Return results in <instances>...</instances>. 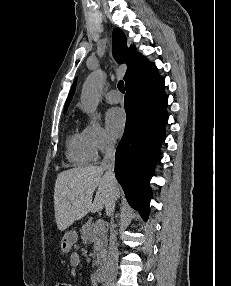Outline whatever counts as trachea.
Returning a JSON list of instances; mask_svg holds the SVG:
<instances>
[{"label":"trachea","instance_id":"3493384b","mask_svg":"<svg viewBox=\"0 0 231 286\" xmlns=\"http://www.w3.org/2000/svg\"><path fill=\"white\" fill-rule=\"evenodd\" d=\"M118 89L120 92L124 93L125 92V88H124V82L122 80H120L118 82V85H117Z\"/></svg>","mask_w":231,"mask_h":286}]
</instances>
